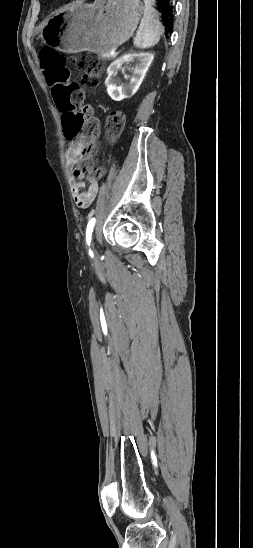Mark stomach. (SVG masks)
Listing matches in <instances>:
<instances>
[{"instance_id": "1", "label": "stomach", "mask_w": 253, "mask_h": 548, "mask_svg": "<svg viewBox=\"0 0 253 548\" xmlns=\"http://www.w3.org/2000/svg\"><path fill=\"white\" fill-rule=\"evenodd\" d=\"M143 10L140 0H95L70 6L49 20L40 37L66 53H111L132 36Z\"/></svg>"}]
</instances>
